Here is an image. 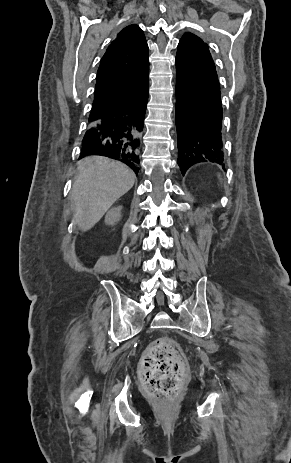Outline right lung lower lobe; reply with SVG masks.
<instances>
[{
  "instance_id": "obj_1",
  "label": "right lung lower lobe",
  "mask_w": 291,
  "mask_h": 463,
  "mask_svg": "<svg viewBox=\"0 0 291 463\" xmlns=\"http://www.w3.org/2000/svg\"><path fill=\"white\" fill-rule=\"evenodd\" d=\"M149 81L97 122L89 123L80 157L101 155L119 160L137 174L140 136L148 101Z\"/></svg>"
}]
</instances>
